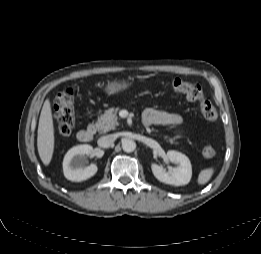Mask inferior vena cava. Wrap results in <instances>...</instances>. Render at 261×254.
Masks as SVG:
<instances>
[{"mask_svg": "<svg viewBox=\"0 0 261 254\" xmlns=\"http://www.w3.org/2000/svg\"><path fill=\"white\" fill-rule=\"evenodd\" d=\"M116 139V136L113 134L102 136L98 139V145L103 148L110 147Z\"/></svg>", "mask_w": 261, "mask_h": 254, "instance_id": "obj_1", "label": "inferior vena cava"}]
</instances>
